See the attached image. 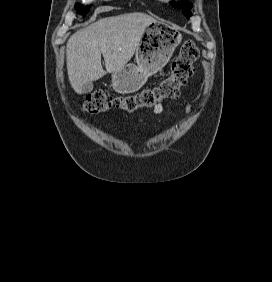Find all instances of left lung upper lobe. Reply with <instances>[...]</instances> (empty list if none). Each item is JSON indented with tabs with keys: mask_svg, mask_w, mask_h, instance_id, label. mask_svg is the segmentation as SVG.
Masks as SVG:
<instances>
[{
	"mask_svg": "<svg viewBox=\"0 0 272 282\" xmlns=\"http://www.w3.org/2000/svg\"><path fill=\"white\" fill-rule=\"evenodd\" d=\"M173 5L176 8H183V13H184L185 16L189 17V16L192 15V13L190 11L192 4L190 2L182 1L180 3H174Z\"/></svg>",
	"mask_w": 272,
	"mask_h": 282,
	"instance_id": "1",
	"label": "left lung upper lobe"
}]
</instances>
